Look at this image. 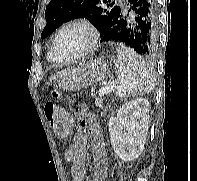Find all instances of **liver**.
<instances>
[{
	"label": "liver",
	"instance_id": "6515ba94",
	"mask_svg": "<svg viewBox=\"0 0 197 181\" xmlns=\"http://www.w3.org/2000/svg\"><path fill=\"white\" fill-rule=\"evenodd\" d=\"M80 68V67H78ZM78 68H73V69H66V70H63V71H60V72H57L56 74L52 75L51 78H50V82L51 81H55V80H58L60 78H62L63 76L77 70Z\"/></svg>",
	"mask_w": 197,
	"mask_h": 181
}]
</instances>
